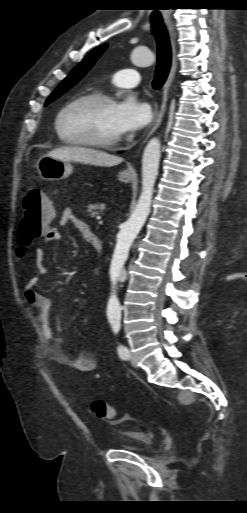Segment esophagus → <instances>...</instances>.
I'll return each mask as SVG.
<instances>
[{"instance_id":"1","label":"esophagus","mask_w":247,"mask_h":513,"mask_svg":"<svg viewBox=\"0 0 247 513\" xmlns=\"http://www.w3.org/2000/svg\"><path fill=\"white\" fill-rule=\"evenodd\" d=\"M165 25H166V28L168 30V33H169V36H170V41H171V46H172V65H171V69H170V72H169V75L167 77V80L165 81L163 87H162V90H161V101H160V105H158V103H155L154 104V109H153V121L151 123V126H150V131L145 139L144 142L147 141V139L156 131V129L160 126V123L162 121V118H163V115L166 111V106H167V102H168V89H169V86L174 78V75L176 73V69H177V50H176V31H175V28H174V24L172 23L171 20H165ZM135 171L132 167H129L128 168V173L129 174H133Z\"/></svg>"}]
</instances>
